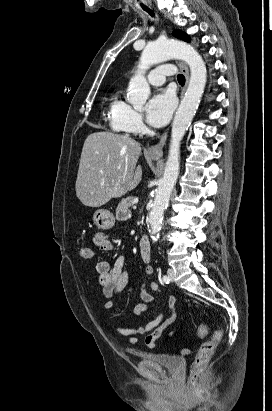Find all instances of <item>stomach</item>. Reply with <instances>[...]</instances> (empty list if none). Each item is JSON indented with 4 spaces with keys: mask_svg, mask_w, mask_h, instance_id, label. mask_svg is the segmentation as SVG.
<instances>
[{
    "mask_svg": "<svg viewBox=\"0 0 272 411\" xmlns=\"http://www.w3.org/2000/svg\"><path fill=\"white\" fill-rule=\"evenodd\" d=\"M151 158L156 160L158 157L151 156ZM93 222L99 229L107 230L114 226L115 217L109 210L98 209L93 214Z\"/></svg>",
    "mask_w": 272,
    "mask_h": 411,
    "instance_id": "1",
    "label": "stomach"
}]
</instances>
